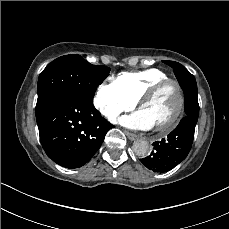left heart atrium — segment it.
Segmentation results:
<instances>
[{"instance_id": "left-heart-atrium-1", "label": "left heart atrium", "mask_w": 229, "mask_h": 229, "mask_svg": "<svg viewBox=\"0 0 229 229\" xmlns=\"http://www.w3.org/2000/svg\"><path fill=\"white\" fill-rule=\"evenodd\" d=\"M117 122L132 129L149 130L152 128L151 123L142 112H138L130 116L120 117Z\"/></svg>"}]
</instances>
